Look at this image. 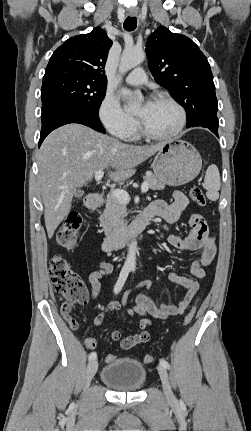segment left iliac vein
I'll use <instances>...</instances> for the list:
<instances>
[{
	"label": "left iliac vein",
	"mask_w": 251,
	"mask_h": 431,
	"mask_svg": "<svg viewBox=\"0 0 251 431\" xmlns=\"http://www.w3.org/2000/svg\"><path fill=\"white\" fill-rule=\"evenodd\" d=\"M158 372H159L160 379L162 382L163 391H164V394H165L167 400L173 401L174 395H173V392H172V389L170 386V381H169V376H168L167 370L162 365H159L158 366Z\"/></svg>",
	"instance_id": "obj_1"
}]
</instances>
